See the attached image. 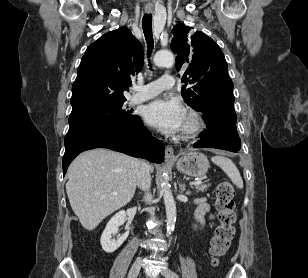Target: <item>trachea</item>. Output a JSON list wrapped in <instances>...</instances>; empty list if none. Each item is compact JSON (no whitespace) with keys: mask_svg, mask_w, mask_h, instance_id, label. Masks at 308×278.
Returning a JSON list of instances; mask_svg holds the SVG:
<instances>
[{"mask_svg":"<svg viewBox=\"0 0 308 278\" xmlns=\"http://www.w3.org/2000/svg\"><path fill=\"white\" fill-rule=\"evenodd\" d=\"M142 27L143 32L145 35V39L147 42L148 47V57H150V54L153 49V36H152V15L151 14H145L142 19Z\"/></svg>","mask_w":308,"mask_h":278,"instance_id":"obj_1","label":"trachea"}]
</instances>
